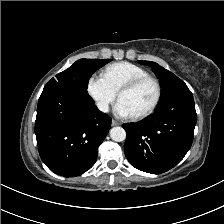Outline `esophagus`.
Instances as JSON below:
<instances>
[{
	"instance_id": "1",
	"label": "esophagus",
	"mask_w": 224,
	"mask_h": 224,
	"mask_svg": "<svg viewBox=\"0 0 224 224\" xmlns=\"http://www.w3.org/2000/svg\"><path fill=\"white\" fill-rule=\"evenodd\" d=\"M111 124H112V126L120 125V123L116 120H112Z\"/></svg>"
}]
</instances>
